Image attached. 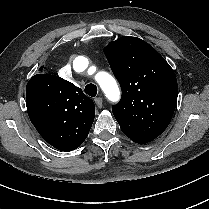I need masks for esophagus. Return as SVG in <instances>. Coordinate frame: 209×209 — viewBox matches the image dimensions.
<instances>
[{
  "label": "esophagus",
  "mask_w": 209,
  "mask_h": 209,
  "mask_svg": "<svg viewBox=\"0 0 209 209\" xmlns=\"http://www.w3.org/2000/svg\"><path fill=\"white\" fill-rule=\"evenodd\" d=\"M95 104L97 105L98 108H102L103 106V100L101 97H97L94 99Z\"/></svg>",
  "instance_id": "esophagus-1"
}]
</instances>
